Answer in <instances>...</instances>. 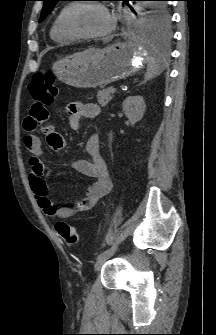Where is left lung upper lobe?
Returning a JSON list of instances; mask_svg holds the SVG:
<instances>
[{"instance_id": "left-lung-upper-lobe-1", "label": "left lung upper lobe", "mask_w": 216, "mask_h": 335, "mask_svg": "<svg viewBox=\"0 0 216 335\" xmlns=\"http://www.w3.org/2000/svg\"><path fill=\"white\" fill-rule=\"evenodd\" d=\"M44 6L41 11L40 21L42 22L51 12L55 5L62 0H42ZM128 2L129 0H120ZM145 1L141 11L142 24L144 28L158 36H168L170 33V15L164 1L167 0H140ZM132 9V7H130ZM134 12V10L132 9ZM135 13V12H134Z\"/></svg>"}]
</instances>
